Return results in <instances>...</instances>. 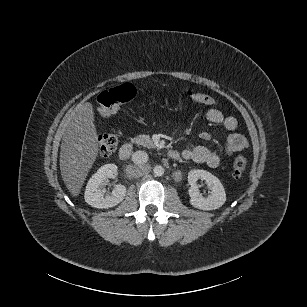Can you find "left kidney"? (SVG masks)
I'll return each mask as SVG.
<instances>
[{"label": "left kidney", "mask_w": 307, "mask_h": 307, "mask_svg": "<svg viewBox=\"0 0 307 307\" xmlns=\"http://www.w3.org/2000/svg\"><path fill=\"white\" fill-rule=\"evenodd\" d=\"M198 180H204L207 187L212 191L207 197H202L199 192ZM188 183L190 184L189 204L199 210L210 211L219 209L226 202V193L220 180L205 170H191L188 174Z\"/></svg>", "instance_id": "obj_1"}]
</instances>
